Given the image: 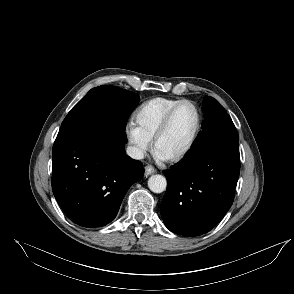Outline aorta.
Here are the masks:
<instances>
[{
    "mask_svg": "<svg viewBox=\"0 0 294 294\" xmlns=\"http://www.w3.org/2000/svg\"><path fill=\"white\" fill-rule=\"evenodd\" d=\"M148 187L154 193H162L167 187L166 178L162 175H152L148 179Z\"/></svg>",
    "mask_w": 294,
    "mask_h": 294,
    "instance_id": "aorta-1",
    "label": "aorta"
}]
</instances>
